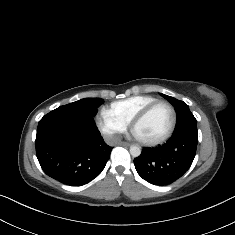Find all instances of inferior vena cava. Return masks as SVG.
I'll return each mask as SVG.
<instances>
[{
	"label": "inferior vena cava",
	"mask_w": 235,
	"mask_h": 235,
	"mask_svg": "<svg viewBox=\"0 0 235 235\" xmlns=\"http://www.w3.org/2000/svg\"><path fill=\"white\" fill-rule=\"evenodd\" d=\"M104 141L109 146H115L121 141V138L117 134L105 135L104 136Z\"/></svg>",
	"instance_id": "1"
}]
</instances>
